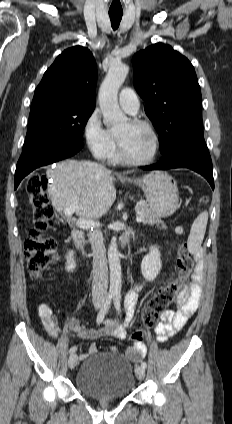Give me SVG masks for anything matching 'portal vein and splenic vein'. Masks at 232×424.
Listing matches in <instances>:
<instances>
[{
	"label": "portal vein and splenic vein",
	"mask_w": 232,
	"mask_h": 424,
	"mask_svg": "<svg viewBox=\"0 0 232 424\" xmlns=\"http://www.w3.org/2000/svg\"><path fill=\"white\" fill-rule=\"evenodd\" d=\"M77 208H78L77 203L71 204L64 209V214L66 216L70 217L75 212V210ZM136 221L137 222L142 221L141 214H139V213L137 214ZM76 225L81 229H90V228H93V227H99L100 223L97 222V221H93V220L79 219V220L76 221Z\"/></svg>",
	"instance_id": "portal-vein-and-splenic-vein-1"
}]
</instances>
